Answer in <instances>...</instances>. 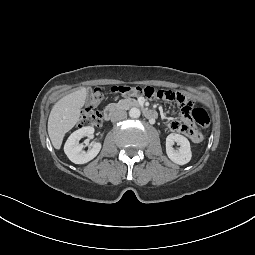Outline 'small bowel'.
<instances>
[{
  "mask_svg": "<svg viewBox=\"0 0 255 255\" xmlns=\"http://www.w3.org/2000/svg\"><path fill=\"white\" fill-rule=\"evenodd\" d=\"M188 125H189V121L186 118H183L182 121L170 120L167 123V126L170 130L174 132H182V133H185V129Z\"/></svg>",
  "mask_w": 255,
  "mask_h": 255,
  "instance_id": "1",
  "label": "small bowel"
}]
</instances>
